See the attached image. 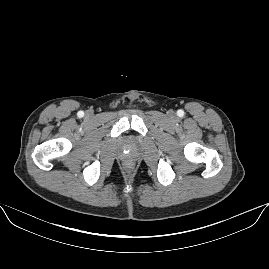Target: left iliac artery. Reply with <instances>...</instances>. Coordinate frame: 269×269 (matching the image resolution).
Listing matches in <instances>:
<instances>
[{
	"label": "left iliac artery",
	"instance_id": "44dca946",
	"mask_svg": "<svg viewBox=\"0 0 269 269\" xmlns=\"http://www.w3.org/2000/svg\"><path fill=\"white\" fill-rule=\"evenodd\" d=\"M177 115L180 116V117H182V116L184 115V111L179 110V111L177 112Z\"/></svg>",
	"mask_w": 269,
	"mask_h": 269
}]
</instances>
